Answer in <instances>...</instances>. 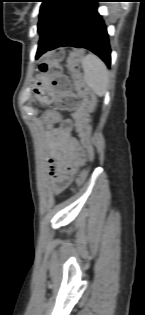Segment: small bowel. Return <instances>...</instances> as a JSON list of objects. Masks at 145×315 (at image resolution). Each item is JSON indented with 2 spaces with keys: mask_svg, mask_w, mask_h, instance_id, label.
Returning <instances> with one entry per match:
<instances>
[{
  "mask_svg": "<svg viewBox=\"0 0 145 315\" xmlns=\"http://www.w3.org/2000/svg\"><path fill=\"white\" fill-rule=\"evenodd\" d=\"M50 157L48 174L53 188L61 191L67 187L86 160V155L72 135L71 120H63L49 135Z\"/></svg>",
  "mask_w": 145,
  "mask_h": 315,
  "instance_id": "1",
  "label": "small bowel"
}]
</instances>
